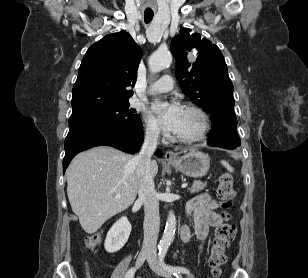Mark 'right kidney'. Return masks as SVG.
I'll list each match as a JSON object with an SVG mask.
<instances>
[{"mask_svg": "<svg viewBox=\"0 0 308 278\" xmlns=\"http://www.w3.org/2000/svg\"><path fill=\"white\" fill-rule=\"evenodd\" d=\"M131 224L127 217H121L111 229L108 231L104 247L108 253H114L119 251L127 242L130 232Z\"/></svg>", "mask_w": 308, "mask_h": 278, "instance_id": "right-kidney-1", "label": "right kidney"}]
</instances>
